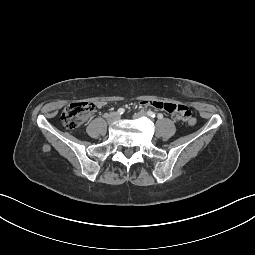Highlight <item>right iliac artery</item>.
<instances>
[{"mask_svg":"<svg viewBox=\"0 0 255 255\" xmlns=\"http://www.w3.org/2000/svg\"><path fill=\"white\" fill-rule=\"evenodd\" d=\"M124 112H125L124 108H119L117 111L118 114H123Z\"/></svg>","mask_w":255,"mask_h":255,"instance_id":"82829eb1","label":"right iliac artery"}]
</instances>
